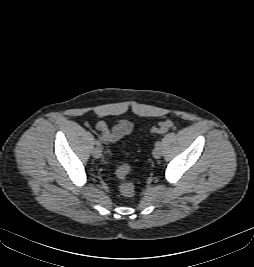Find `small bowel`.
Wrapping results in <instances>:
<instances>
[{"instance_id":"c3829d8e","label":"small bowel","mask_w":254,"mask_h":267,"mask_svg":"<svg viewBox=\"0 0 254 267\" xmlns=\"http://www.w3.org/2000/svg\"><path fill=\"white\" fill-rule=\"evenodd\" d=\"M133 128V123L128 120L118 122L112 129H109L104 121H99L95 125V129L100 132L101 139L111 143L117 142L129 135L133 131Z\"/></svg>"}]
</instances>
